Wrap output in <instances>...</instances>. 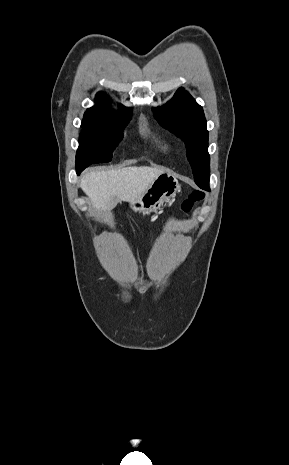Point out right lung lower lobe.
Returning a JSON list of instances; mask_svg holds the SVG:
<instances>
[{"mask_svg":"<svg viewBox=\"0 0 289 465\" xmlns=\"http://www.w3.org/2000/svg\"><path fill=\"white\" fill-rule=\"evenodd\" d=\"M82 170H84V169L81 168V167L76 166V172H77L78 175L82 172Z\"/></svg>","mask_w":289,"mask_h":465,"instance_id":"obj_1","label":"right lung lower lobe"}]
</instances>
